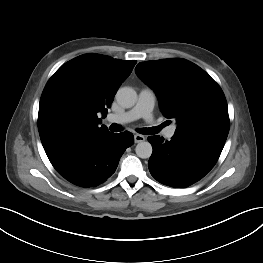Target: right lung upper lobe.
I'll return each instance as SVG.
<instances>
[{
	"label": "right lung upper lobe",
	"mask_w": 263,
	"mask_h": 263,
	"mask_svg": "<svg viewBox=\"0 0 263 263\" xmlns=\"http://www.w3.org/2000/svg\"><path fill=\"white\" fill-rule=\"evenodd\" d=\"M136 61L85 54L62 65L47 82L39 103L38 129L44 149L99 126Z\"/></svg>",
	"instance_id": "1"
}]
</instances>
